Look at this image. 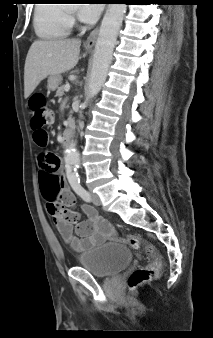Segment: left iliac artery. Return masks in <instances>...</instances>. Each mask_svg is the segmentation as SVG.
<instances>
[{
    "instance_id": "1",
    "label": "left iliac artery",
    "mask_w": 213,
    "mask_h": 338,
    "mask_svg": "<svg viewBox=\"0 0 213 338\" xmlns=\"http://www.w3.org/2000/svg\"><path fill=\"white\" fill-rule=\"evenodd\" d=\"M72 188L84 201L90 202V194L82 187L80 182L73 184Z\"/></svg>"
}]
</instances>
